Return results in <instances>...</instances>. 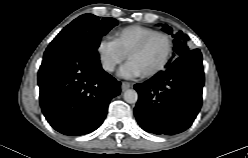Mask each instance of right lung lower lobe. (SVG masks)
Instances as JSON below:
<instances>
[{
	"label": "right lung lower lobe",
	"instance_id": "obj_1",
	"mask_svg": "<svg viewBox=\"0 0 248 158\" xmlns=\"http://www.w3.org/2000/svg\"><path fill=\"white\" fill-rule=\"evenodd\" d=\"M40 105L58 132L79 136L104 121L120 82L105 72L97 50L64 44L49 45L38 72Z\"/></svg>",
	"mask_w": 248,
	"mask_h": 158
}]
</instances>
